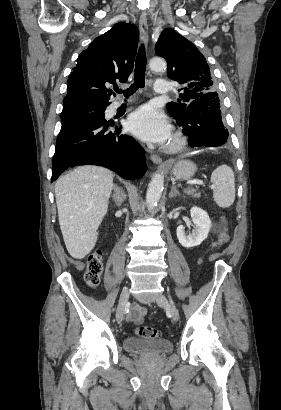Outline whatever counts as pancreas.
Listing matches in <instances>:
<instances>
[{
    "label": "pancreas",
    "mask_w": 281,
    "mask_h": 410,
    "mask_svg": "<svg viewBox=\"0 0 281 410\" xmlns=\"http://www.w3.org/2000/svg\"><path fill=\"white\" fill-rule=\"evenodd\" d=\"M184 193L194 198H199L201 195L200 192H198L197 189L193 187H187L186 189H184Z\"/></svg>",
    "instance_id": "cf45deb5"
}]
</instances>
